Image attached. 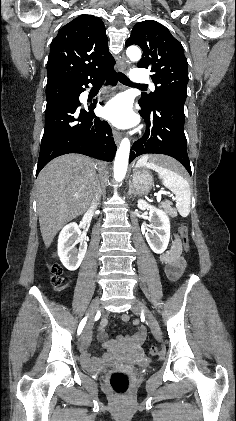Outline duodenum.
I'll return each mask as SVG.
<instances>
[{"label":"duodenum","instance_id":"obj_1","mask_svg":"<svg viewBox=\"0 0 236 421\" xmlns=\"http://www.w3.org/2000/svg\"><path fill=\"white\" fill-rule=\"evenodd\" d=\"M162 261L166 264L167 273L171 278H175L183 269V261L179 257V251L174 247L161 256ZM137 340V338H135ZM89 340L85 341L87 344ZM107 346H110L108 343ZM109 355L103 357L91 358L87 352L82 353V363L88 370H96L103 365L109 358Z\"/></svg>","mask_w":236,"mask_h":421}]
</instances>
